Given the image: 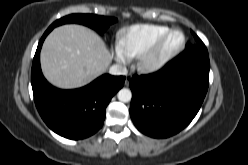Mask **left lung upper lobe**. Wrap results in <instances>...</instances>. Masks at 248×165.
<instances>
[{
    "mask_svg": "<svg viewBox=\"0 0 248 165\" xmlns=\"http://www.w3.org/2000/svg\"><path fill=\"white\" fill-rule=\"evenodd\" d=\"M192 34L194 35L195 43L187 44L185 49L190 48V47H192L194 45H204L203 42L201 41V39L194 32H192Z\"/></svg>",
    "mask_w": 248,
    "mask_h": 165,
    "instance_id": "left-lung-upper-lobe-1",
    "label": "left lung upper lobe"
}]
</instances>
